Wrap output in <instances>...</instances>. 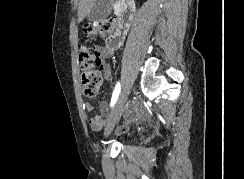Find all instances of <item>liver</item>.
I'll list each match as a JSON object with an SVG mask.
<instances>
[{"label":"liver","instance_id":"6515ba94","mask_svg":"<svg viewBox=\"0 0 244 179\" xmlns=\"http://www.w3.org/2000/svg\"><path fill=\"white\" fill-rule=\"evenodd\" d=\"M96 0H79L78 22H82L88 16L91 8H93Z\"/></svg>","mask_w":244,"mask_h":179}]
</instances>
